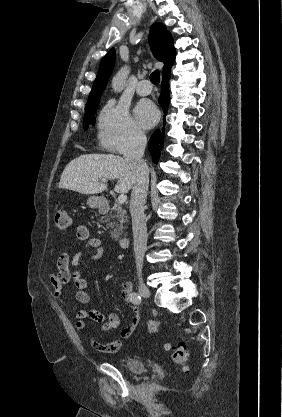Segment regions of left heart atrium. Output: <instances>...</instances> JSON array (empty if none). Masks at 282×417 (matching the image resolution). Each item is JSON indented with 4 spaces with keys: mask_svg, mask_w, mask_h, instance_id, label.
Wrapping results in <instances>:
<instances>
[{
    "mask_svg": "<svg viewBox=\"0 0 282 417\" xmlns=\"http://www.w3.org/2000/svg\"><path fill=\"white\" fill-rule=\"evenodd\" d=\"M138 123L143 127L151 126L158 118L157 110L147 102H140L135 111Z\"/></svg>",
    "mask_w": 282,
    "mask_h": 417,
    "instance_id": "39dd6f15",
    "label": "left heart atrium"
}]
</instances>
